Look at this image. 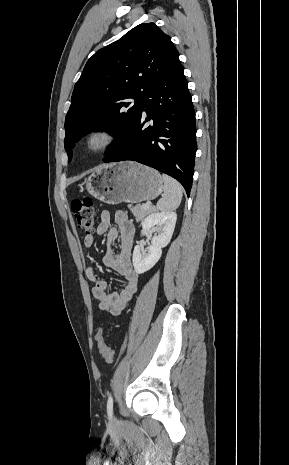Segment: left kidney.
Listing matches in <instances>:
<instances>
[{"mask_svg": "<svg viewBox=\"0 0 289 465\" xmlns=\"http://www.w3.org/2000/svg\"><path fill=\"white\" fill-rule=\"evenodd\" d=\"M177 214L175 212H157L148 215L142 222L141 234L156 231L152 237L151 245L147 250L140 245L135 246L133 251V266L138 274L150 270L160 259L162 248L167 246L172 238Z\"/></svg>", "mask_w": 289, "mask_h": 465, "instance_id": "1", "label": "left kidney"}]
</instances>
